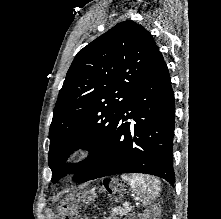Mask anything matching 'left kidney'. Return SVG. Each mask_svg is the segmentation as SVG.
I'll use <instances>...</instances> for the list:
<instances>
[{
	"instance_id": "obj_1",
	"label": "left kidney",
	"mask_w": 221,
	"mask_h": 219,
	"mask_svg": "<svg viewBox=\"0 0 221 219\" xmlns=\"http://www.w3.org/2000/svg\"><path fill=\"white\" fill-rule=\"evenodd\" d=\"M160 213V209L158 207H154L142 214H138L136 219H159Z\"/></svg>"
}]
</instances>
